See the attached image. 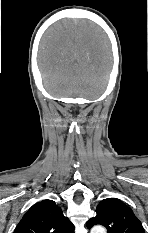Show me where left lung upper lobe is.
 <instances>
[{"mask_svg":"<svg viewBox=\"0 0 148 233\" xmlns=\"http://www.w3.org/2000/svg\"><path fill=\"white\" fill-rule=\"evenodd\" d=\"M97 224L105 226L108 233H145L132 209L116 198L102 200L96 216L86 223L88 229Z\"/></svg>","mask_w":148,"mask_h":233,"instance_id":"5c2ea615","label":"left lung upper lobe"}]
</instances>
